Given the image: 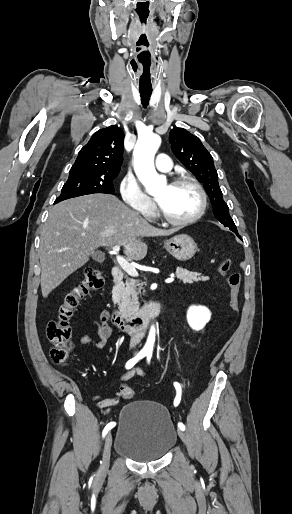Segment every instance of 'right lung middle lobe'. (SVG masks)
Wrapping results in <instances>:
<instances>
[{
	"mask_svg": "<svg viewBox=\"0 0 292 514\" xmlns=\"http://www.w3.org/2000/svg\"><path fill=\"white\" fill-rule=\"evenodd\" d=\"M117 175L102 174H69L64 184L61 195L54 203L93 193L114 194L113 180Z\"/></svg>",
	"mask_w": 292,
	"mask_h": 514,
	"instance_id": "1",
	"label": "right lung middle lobe"
}]
</instances>
